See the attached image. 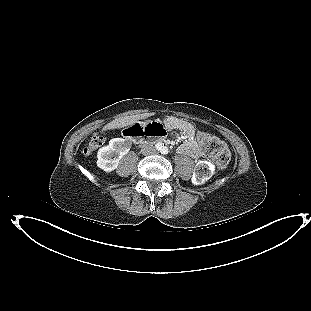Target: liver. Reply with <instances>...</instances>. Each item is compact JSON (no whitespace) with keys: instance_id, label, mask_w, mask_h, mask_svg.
<instances>
[{"instance_id":"obj_1","label":"liver","mask_w":311,"mask_h":311,"mask_svg":"<svg viewBox=\"0 0 311 311\" xmlns=\"http://www.w3.org/2000/svg\"><path fill=\"white\" fill-rule=\"evenodd\" d=\"M151 115H153V114L144 113V114H138V115H132V116H125V117L117 118V119L111 121L110 123H108L107 125H105L103 127V130L106 131V130H113L116 128H123V127H126V126H129V125L136 123L140 119L148 118Z\"/></svg>"}]
</instances>
